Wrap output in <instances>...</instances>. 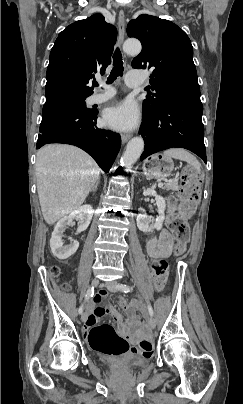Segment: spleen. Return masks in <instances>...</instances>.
<instances>
[{"mask_svg":"<svg viewBox=\"0 0 243 404\" xmlns=\"http://www.w3.org/2000/svg\"><path fill=\"white\" fill-rule=\"evenodd\" d=\"M164 156H168V158H175V160H183V162H187V164H190V166H193V168H196V170H199L200 164L192 154H189V152H186V150H183V148H171V150H167V152H164Z\"/></svg>","mask_w":243,"mask_h":404,"instance_id":"spleen-1","label":"spleen"}]
</instances>
